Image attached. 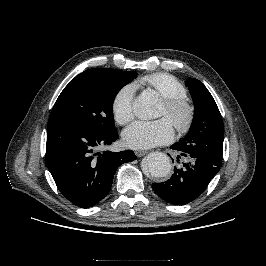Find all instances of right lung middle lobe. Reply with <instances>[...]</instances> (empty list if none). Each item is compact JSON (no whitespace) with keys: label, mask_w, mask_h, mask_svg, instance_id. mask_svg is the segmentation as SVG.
<instances>
[{"label":"right lung middle lobe","mask_w":266,"mask_h":266,"mask_svg":"<svg viewBox=\"0 0 266 266\" xmlns=\"http://www.w3.org/2000/svg\"><path fill=\"white\" fill-rule=\"evenodd\" d=\"M137 76L133 71L89 69L77 75L61 92L49 122H62L103 132L114 130L113 100Z\"/></svg>","instance_id":"right-lung-middle-lobe-1"}]
</instances>
